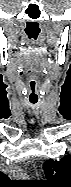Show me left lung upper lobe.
Instances as JSON below:
<instances>
[{
	"label": "left lung upper lobe",
	"mask_w": 71,
	"mask_h": 187,
	"mask_svg": "<svg viewBox=\"0 0 71 187\" xmlns=\"http://www.w3.org/2000/svg\"><path fill=\"white\" fill-rule=\"evenodd\" d=\"M47 180L41 181L47 187H71V156L60 161L47 160L43 165Z\"/></svg>",
	"instance_id": "left-lung-upper-lobe-1"
}]
</instances>
